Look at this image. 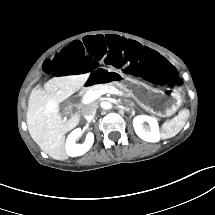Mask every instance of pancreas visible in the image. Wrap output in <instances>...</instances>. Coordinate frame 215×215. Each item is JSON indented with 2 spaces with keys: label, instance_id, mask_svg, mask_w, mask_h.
<instances>
[{
  "label": "pancreas",
  "instance_id": "pancreas-1",
  "mask_svg": "<svg viewBox=\"0 0 215 215\" xmlns=\"http://www.w3.org/2000/svg\"><path fill=\"white\" fill-rule=\"evenodd\" d=\"M105 87H108V88H115L114 84L113 83H107V84H97V85H93V86H90V87H85L83 88V90L81 91V95H84L88 92H95L97 90H100V89H103ZM116 89V88H115ZM124 96H128L127 94L125 93H122Z\"/></svg>",
  "mask_w": 215,
  "mask_h": 215
}]
</instances>
